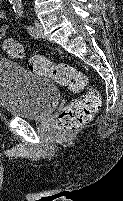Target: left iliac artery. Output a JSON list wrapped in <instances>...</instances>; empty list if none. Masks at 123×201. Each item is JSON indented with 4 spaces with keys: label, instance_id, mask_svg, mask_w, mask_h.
Wrapping results in <instances>:
<instances>
[{
    "label": "left iliac artery",
    "instance_id": "left-iliac-artery-1",
    "mask_svg": "<svg viewBox=\"0 0 123 201\" xmlns=\"http://www.w3.org/2000/svg\"><path fill=\"white\" fill-rule=\"evenodd\" d=\"M13 4V9L14 12L20 17L23 18L24 14H23V5L21 0H13L12 2ZM27 31L30 35L34 36L35 35V27L32 25H26Z\"/></svg>",
    "mask_w": 123,
    "mask_h": 201
}]
</instances>
